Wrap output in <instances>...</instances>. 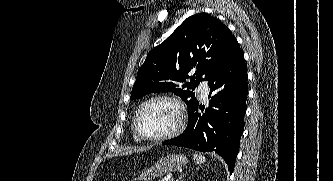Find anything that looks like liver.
Returning <instances> with one entry per match:
<instances>
[{"label":"liver","instance_id":"6515ba94","mask_svg":"<svg viewBox=\"0 0 333 181\" xmlns=\"http://www.w3.org/2000/svg\"><path fill=\"white\" fill-rule=\"evenodd\" d=\"M150 147H147V148H139V149H128V150H125L123 152H120L119 154L121 155H128V154H132V153H136V152H142V151H146L148 150Z\"/></svg>","mask_w":333,"mask_h":181}]
</instances>
